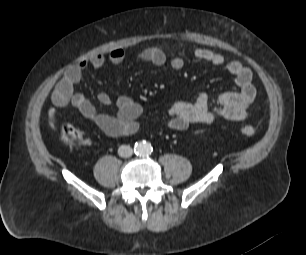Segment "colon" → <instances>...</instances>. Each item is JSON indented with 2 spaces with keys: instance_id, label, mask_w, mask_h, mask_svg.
Instances as JSON below:
<instances>
[{
  "instance_id": "5ec220e1",
  "label": "colon",
  "mask_w": 306,
  "mask_h": 255,
  "mask_svg": "<svg viewBox=\"0 0 306 255\" xmlns=\"http://www.w3.org/2000/svg\"><path fill=\"white\" fill-rule=\"evenodd\" d=\"M241 132L245 136H253L256 133V129L252 125H243L241 127ZM61 140L63 143L70 146L81 145L85 142L82 133L72 125H64L61 129Z\"/></svg>"
}]
</instances>
